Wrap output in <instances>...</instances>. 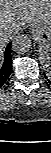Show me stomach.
Wrapping results in <instances>:
<instances>
[{
	"label": "stomach",
	"instance_id": "obj_1",
	"mask_svg": "<svg viewBox=\"0 0 51 153\" xmlns=\"http://www.w3.org/2000/svg\"><path fill=\"white\" fill-rule=\"evenodd\" d=\"M33 32L39 41L40 49L50 54L51 52V23L50 25L35 24Z\"/></svg>",
	"mask_w": 51,
	"mask_h": 153
}]
</instances>
